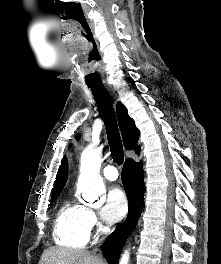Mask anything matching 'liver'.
<instances>
[{
	"mask_svg": "<svg viewBox=\"0 0 221 264\" xmlns=\"http://www.w3.org/2000/svg\"><path fill=\"white\" fill-rule=\"evenodd\" d=\"M39 264H106L101 257L83 249L50 247L42 253Z\"/></svg>",
	"mask_w": 221,
	"mask_h": 264,
	"instance_id": "1",
	"label": "liver"
}]
</instances>
